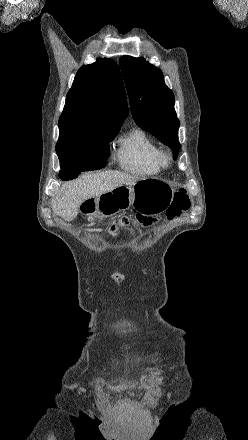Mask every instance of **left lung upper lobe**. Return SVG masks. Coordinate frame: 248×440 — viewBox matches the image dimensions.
<instances>
[{
    "label": "left lung upper lobe",
    "mask_w": 248,
    "mask_h": 440,
    "mask_svg": "<svg viewBox=\"0 0 248 440\" xmlns=\"http://www.w3.org/2000/svg\"><path fill=\"white\" fill-rule=\"evenodd\" d=\"M120 68L129 96L133 119L173 150L177 158L179 120L174 110V94L165 85L162 71L142 57L123 56Z\"/></svg>",
    "instance_id": "1"
}]
</instances>
